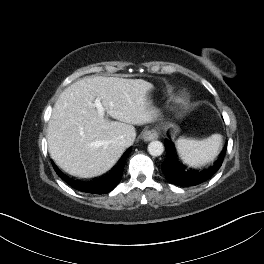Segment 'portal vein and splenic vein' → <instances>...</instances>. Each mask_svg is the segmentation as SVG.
Returning a JSON list of instances; mask_svg holds the SVG:
<instances>
[{
	"label": "portal vein and splenic vein",
	"mask_w": 264,
	"mask_h": 264,
	"mask_svg": "<svg viewBox=\"0 0 264 264\" xmlns=\"http://www.w3.org/2000/svg\"><path fill=\"white\" fill-rule=\"evenodd\" d=\"M94 106L96 107L98 113L100 116H104V113H105V108L103 107L101 101L99 98H96L94 100Z\"/></svg>",
	"instance_id": "1"
}]
</instances>
